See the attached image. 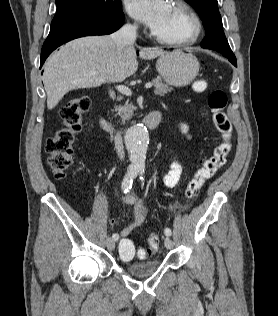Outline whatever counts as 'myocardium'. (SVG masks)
Returning a JSON list of instances; mask_svg holds the SVG:
<instances>
[{"mask_svg": "<svg viewBox=\"0 0 278 316\" xmlns=\"http://www.w3.org/2000/svg\"><path fill=\"white\" fill-rule=\"evenodd\" d=\"M172 6L183 12L191 22L190 33L182 38H166L152 32V38L160 44L171 47H185L194 44L202 31V23L197 12L186 2L175 0Z\"/></svg>", "mask_w": 278, "mask_h": 316, "instance_id": "obj_1", "label": "myocardium"}]
</instances>
